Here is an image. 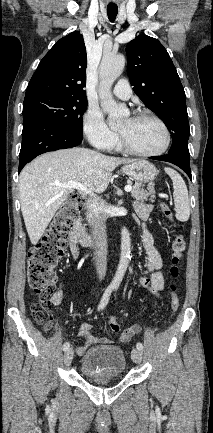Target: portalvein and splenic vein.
Masks as SVG:
<instances>
[{
  "mask_svg": "<svg viewBox=\"0 0 213 433\" xmlns=\"http://www.w3.org/2000/svg\"><path fill=\"white\" fill-rule=\"evenodd\" d=\"M58 187H61L63 189H76L80 192H83L88 195H93V192L91 190H88L82 183L75 182V181H68L66 183H56L55 184ZM132 190V187L130 185L125 186V191L130 192Z\"/></svg>",
  "mask_w": 213,
  "mask_h": 433,
  "instance_id": "18ae733b",
  "label": "portal vein and splenic vein"
}]
</instances>
